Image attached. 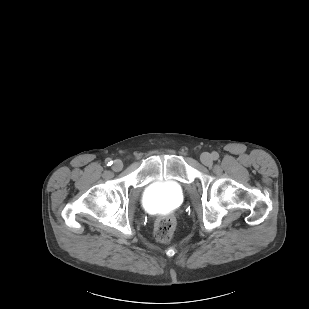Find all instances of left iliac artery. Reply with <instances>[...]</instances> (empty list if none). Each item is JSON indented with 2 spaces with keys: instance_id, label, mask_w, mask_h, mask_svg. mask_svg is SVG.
Returning a JSON list of instances; mask_svg holds the SVG:
<instances>
[{
  "instance_id": "1",
  "label": "left iliac artery",
  "mask_w": 309,
  "mask_h": 309,
  "mask_svg": "<svg viewBox=\"0 0 309 309\" xmlns=\"http://www.w3.org/2000/svg\"><path fill=\"white\" fill-rule=\"evenodd\" d=\"M212 157L214 160H217L219 158V154L217 152H213Z\"/></svg>"
}]
</instances>
